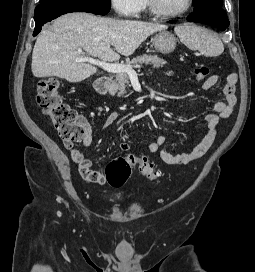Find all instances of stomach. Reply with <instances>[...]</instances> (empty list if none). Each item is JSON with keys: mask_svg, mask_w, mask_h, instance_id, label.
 <instances>
[{"mask_svg": "<svg viewBox=\"0 0 255 272\" xmlns=\"http://www.w3.org/2000/svg\"><path fill=\"white\" fill-rule=\"evenodd\" d=\"M154 48L162 54H170L176 48L177 39L168 31H161L152 38Z\"/></svg>", "mask_w": 255, "mask_h": 272, "instance_id": "0dacf381", "label": "stomach"}]
</instances>
